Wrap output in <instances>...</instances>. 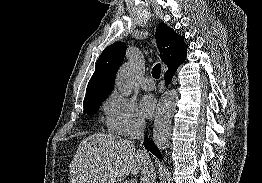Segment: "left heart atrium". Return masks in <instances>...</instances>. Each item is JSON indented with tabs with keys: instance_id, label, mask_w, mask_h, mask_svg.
Listing matches in <instances>:
<instances>
[{
	"instance_id": "left-heart-atrium-1",
	"label": "left heart atrium",
	"mask_w": 262,
	"mask_h": 183,
	"mask_svg": "<svg viewBox=\"0 0 262 183\" xmlns=\"http://www.w3.org/2000/svg\"><path fill=\"white\" fill-rule=\"evenodd\" d=\"M141 113L144 117L150 118L156 109V99L152 95H145L140 101Z\"/></svg>"
}]
</instances>
